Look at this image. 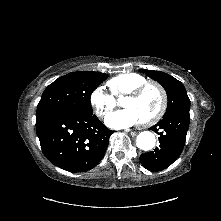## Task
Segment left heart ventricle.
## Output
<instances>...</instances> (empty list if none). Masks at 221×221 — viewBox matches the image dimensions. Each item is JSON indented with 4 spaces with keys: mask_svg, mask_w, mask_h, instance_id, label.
<instances>
[{
    "mask_svg": "<svg viewBox=\"0 0 221 221\" xmlns=\"http://www.w3.org/2000/svg\"><path fill=\"white\" fill-rule=\"evenodd\" d=\"M160 104V94L154 87L147 88L136 99L125 98L121 103L125 109L132 110L140 122L153 116L158 111Z\"/></svg>",
    "mask_w": 221,
    "mask_h": 221,
    "instance_id": "b2bd125f",
    "label": "left heart ventricle"
}]
</instances>
